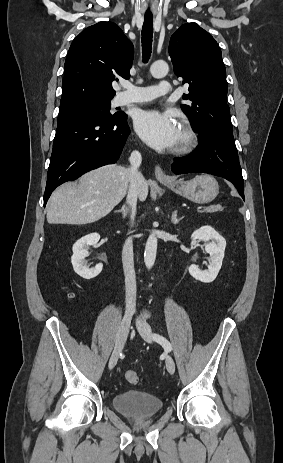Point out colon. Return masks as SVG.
I'll use <instances>...</instances> for the list:
<instances>
[{
	"label": "colon",
	"instance_id": "5ec220e1",
	"mask_svg": "<svg viewBox=\"0 0 283 463\" xmlns=\"http://www.w3.org/2000/svg\"><path fill=\"white\" fill-rule=\"evenodd\" d=\"M125 379L128 383L136 384L139 382V375L136 371L129 370L125 373Z\"/></svg>",
	"mask_w": 283,
	"mask_h": 463
}]
</instances>
